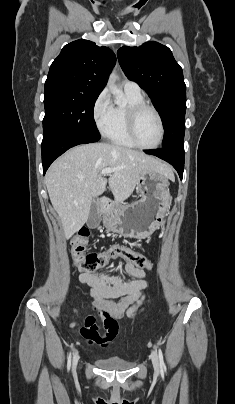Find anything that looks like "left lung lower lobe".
Segmentation results:
<instances>
[{
  "label": "left lung lower lobe",
  "mask_w": 235,
  "mask_h": 404,
  "mask_svg": "<svg viewBox=\"0 0 235 404\" xmlns=\"http://www.w3.org/2000/svg\"><path fill=\"white\" fill-rule=\"evenodd\" d=\"M145 153L157 156L169 162L177 170L182 180L185 158L183 144H175L157 150H145Z\"/></svg>",
  "instance_id": "0a47b994"
}]
</instances>
